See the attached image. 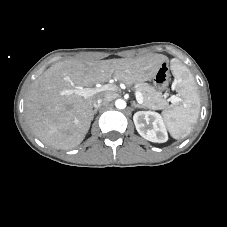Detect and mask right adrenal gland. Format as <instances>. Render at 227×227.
Here are the masks:
<instances>
[{
	"instance_id": "1",
	"label": "right adrenal gland",
	"mask_w": 227,
	"mask_h": 227,
	"mask_svg": "<svg viewBox=\"0 0 227 227\" xmlns=\"http://www.w3.org/2000/svg\"><path fill=\"white\" fill-rule=\"evenodd\" d=\"M97 111H98V108H96V109H94V111H93V116H94V114H96L97 113Z\"/></svg>"
}]
</instances>
